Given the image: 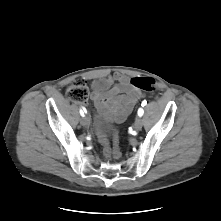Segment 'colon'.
Here are the masks:
<instances>
[{
    "instance_id": "obj_1",
    "label": "colon",
    "mask_w": 221,
    "mask_h": 221,
    "mask_svg": "<svg viewBox=\"0 0 221 221\" xmlns=\"http://www.w3.org/2000/svg\"><path fill=\"white\" fill-rule=\"evenodd\" d=\"M134 88L152 92L155 89L154 80L150 77H134L130 80ZM89 90L84 80L73 82L67 89V97L73 102L85 103L88 100ZM99 139L103 145V155L106 159L119 158L122 153L119 147V134L116 130L113 134L112 146L108 143L104 133L99 132Z\"/></svg>"
}]
</instances>
